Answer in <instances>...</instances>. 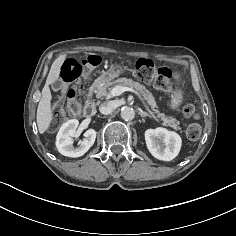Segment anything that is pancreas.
Segmentation results:
<instances>
[{
    "instance_id": "cf45deb5",
    "label": "pancreas",
    "mask_w": 236,
    "mask_h": 236,
    "mask_svg": "<svg viewBox=\"0 0 236 236\" xmlns=\"http://www.w3.org/2000/svg\"><path fill=\"white\" fill-rule=\"evenodd\" d=\"M116 86H123V87H130L134 88L135 90L139 91L142 96L145 98V100L148 102V104L152 107L153 111L157 114L159 118H161L164 121V124L167 126L172 127L175 130H180L181 128L179 126V121L173 117H165L164 114L160 113L157 109L155 99L150 93L145 86L142 84L133 81L132 79L128 78H119L117 80H114L112 82L107 81L103 84H100L97 86V97H106V98H111V90L116 87ZM182 132V131H181Z\"/></svg>"
}]
</instances>
